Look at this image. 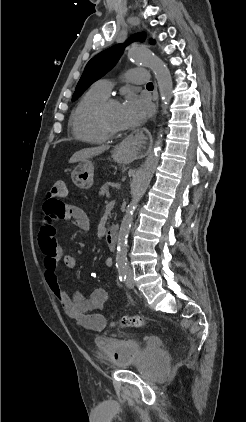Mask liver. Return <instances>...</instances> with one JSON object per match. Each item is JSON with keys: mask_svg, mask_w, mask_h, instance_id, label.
<instances>
[{"mask_svg": "<svg viewBox=\"0 0 246 422\" xmlns=\"http://www.w3.org/2000/svg\"><path fill=\"white\" fill-rule=\"evenodd\" d=\"M109 146L108 145H102L99 147H94V148H86V149H82L80 151H77L76 153L73 154V156L70 158L69 163H76V162H83L91 157L97 156L101 153H103L104 151L108 150Z\"/></svg>", "mask_w": 246, "mask_h": 422, "instance_id": "obj_1", "label": "liver"}]
</instances>
